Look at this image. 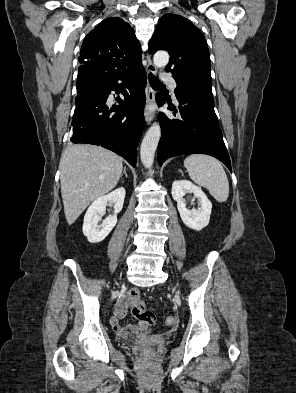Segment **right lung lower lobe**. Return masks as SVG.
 <instances>
[{
  "label": "right lung lower lobe",
  "instance_id": "98d812e1",
  "mask_svg": "<svg viewBox=\"0 0 296 393\" xmlns=\"http://www.w3.org/2000/svg\"><path fill=\"white\" fill-rule=\"evenodd\" d=\"M76 109L72 118L73 143L101 145L136 166L137 146L144 127L146 74L143 66L131 72L107 76L88 67L78 68ZM124 100L111 108L112 90L124 91ZM115 112V114H113Z\"/></svg>",
  "mask_w": 296,
  "mask_h": 393
}]
</instances>
